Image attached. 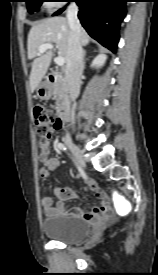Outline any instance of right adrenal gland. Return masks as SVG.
<instances>
[{
    "mask_svg": "<svg viewBox=\"0 0 158 275\" xmlns=\"http://www.w3.org/2000/svg\"><path fill=\"white\" fill-rule=\"evenodd\" d=\"M85 56H86V51H83V63L85 64Z\"/></svg>",
    "mask_w": 158,
    "mask_h": 275,
    "instance_id": "1",
    "label": "right adrenal gland"
}]
</instances>
